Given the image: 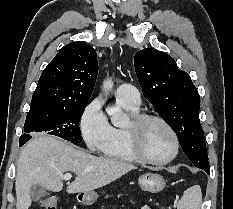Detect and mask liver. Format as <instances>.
<instances>
[{"label": "liver", "mask_w": 233, "mask_h": 209, "mask_svg": "<svg viewBox=\"0 0 233 209\" xmlns=\"http://www.w3.org/2000/svg\"><path fill=\"white\" fill-rule=\"evenodd\" d=\"M134 169L132 164L93 156L56 137L38 136L23 148L17 162L16 209H29L33 185L61 191L64 172L75 173V180L66 188L69 194H75L92 192Z\"/></svg>", "instance_id": "1"}]
</instances>
